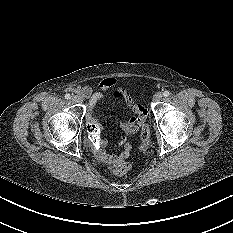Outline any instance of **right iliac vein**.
Returning <instances> with one entry per match:
<instances>
[{"label":"right iliac vein","instance_id":"right-iliac-vein-1","mask_svg":"<svg viewBox=\"0 0 233 233\" xmlns=\"http://www.w3.org/2000/svg\"><path fill=\"white\" fill-rule=\"evenodd\" d=\"M71 100H72L73 103H80V102H82V98L80 96H76V95L73 96Z\"/></svg>","mask_w":233,"mask_h":233}]
</instances>
